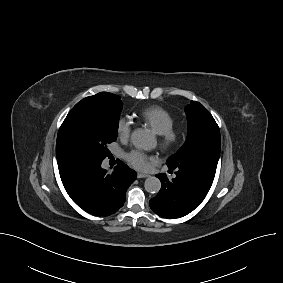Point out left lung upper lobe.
Wrapping results in <instances>:
<instances>
[{"instance_id":"obj_1","label":"left lung upper lobe","mask_w":283,"mask_h":283,"mask_svg":"<svg viewBox=\"0 0 283 283\" xmlns=\"http://www.w3.org/2000/svg\"><path fill=\"white\" fill-rule=\"evenodd\" d=\"M185 112L188 121L186 142L166 164L172 169L194 170L213 182L221 148L219 127L199 102L191 101Z\"/></svg>"}]
</instances>
